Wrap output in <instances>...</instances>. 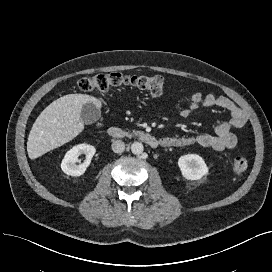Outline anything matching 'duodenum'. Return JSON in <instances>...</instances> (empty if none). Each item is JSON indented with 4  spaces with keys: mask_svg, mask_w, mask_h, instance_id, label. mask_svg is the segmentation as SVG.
Returning a JSON list of instances; mask_svg holds the SVG:
<instances>
[{
    "mask_svg": "<svg viewBox=\"0 0 272 272\" xmlns=\"http://www.w3.org/2000/svg\"><path fill=\"white\" fill-rule=\"evenodd\" d=\"M108 135L110 138H113V139L126 138V134L124 133V131L115 126H112L108 129ZM136 138L144 142L151 148H157L159 146L158 139L148 132H139L136 134Z\"/></svg>",
    "mask_w": 272,
    "mask_h": 272,
    "instance_id": "1",
    "label": "duodenum"
}]
</instances>
